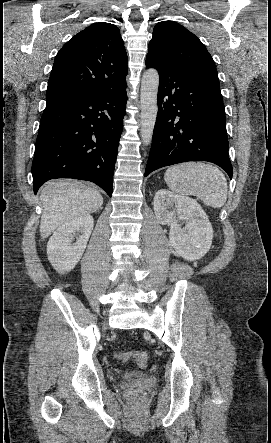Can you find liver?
<instances>
[{"label": "liver", "mask_w": 271, "mask_h": 443, "mask_svg": "<svg viewBox=\"0 0 271 443\" xmlns=\"http://www.w3.org/2000/svg\"><path fill=\"white\" fill-rule=\"evenodd\" d=\"M43 214L40 220L41 241L62 223L77 216L93 214L103 204L99 190L87 188L77 180H51L40 194Z\"/></svg>", "instance_id": "liver-1"}]
</instances>
